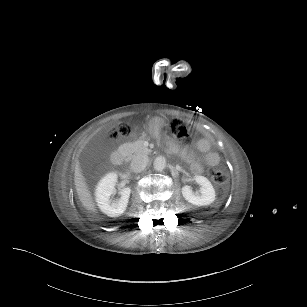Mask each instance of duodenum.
<instances>
[{
	"mask_svg": "<svg viewBox=\"0 0 307 307\" xmlns=\"http://www.w3.org/2000/svg\"><path fill=\"white\" fill-rule=\"evenodd\" d=\"M125 152L124 150H117L112 155V162L115 165H121L125 159Z\"/></svg>",
	"mask_w": 307,
	"mask_h": 307,
	"instance_id": "obj_1",
	"label": "duodenum"
}]
</instances>
